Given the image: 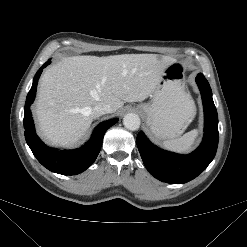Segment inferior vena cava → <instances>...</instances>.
<instances>
[{
  "label": "inferior vena cava",
  "instance_id": "1",
  "mask_svg": "<svg viewBox=\"0 0 247 247\" xmlns=\"http://www.w3.org/2000/svg\"><path fill=\"white\" fill-rule=\"evenodd\" d=\"M114 112L111 105L106 103H97L93 109L91 110V116L92 118H98L104 114L112 113Z\"/></svg>",
  "mask_w": 247,
  "mask_h": 247
}]
</instances>
